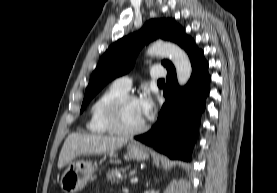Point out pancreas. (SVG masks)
Wrapping results in <instances>:
<instances>
[{"label":"pancreas","instance_id":"cf45deb5","mask_svg":"<svg viewBox=\"0 0 277 193\" xmlns=\"http://www.w3.org/2000/svg\"><path fill=\"white\" fill-rule=\"evenodd\" d=\"M106 177L111 181V184H113L119 183V181L126 178L127 175L121 169H112L106 173Z\"/></svg>","mask_w":277,"mask_h":193}]
</instances>
